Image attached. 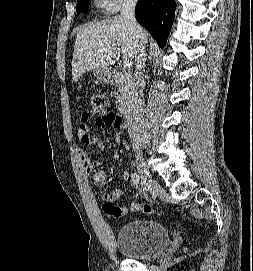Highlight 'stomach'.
<instances>
[{
	"label": "stomach",
	"instance_id": "1",
	"mask_svg": "<svg viewBox=\"0 0 253 271\" xmlns=\"http://www.w3.org/2000/svg\"><path fill=\"white\" fill-rule=\"evenodd\" d=\"M94 76L97 77V80L104 84L113 83L115 78L110 69H97L93 71Z\"/></svg>",
	"mask_w": 253,
	"mask_h": 271
}]
</instances>
